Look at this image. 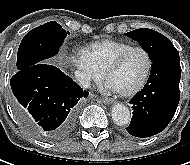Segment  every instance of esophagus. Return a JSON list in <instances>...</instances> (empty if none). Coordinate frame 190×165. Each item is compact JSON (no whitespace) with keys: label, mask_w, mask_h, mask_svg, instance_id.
I'll return each instance as SVG.
<instances>
[{"label":"esophagus","mask_w":190,"mask_h":165,"mask_svg":"<svg viewBox=\"0 0 190 165\" xmlns=\"http://www.w3.org/2000/svg\"><path fill=\"white\" fill-rule=\"evenodd\" d=\"M101 101L104 103V104H112L114 102V100L110 99V98H104L102 97L101 98Z\"/></svg>","instance_id":"esophagus-1"}]
</instances>
